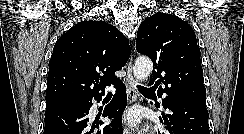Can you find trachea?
<instances>
[{"label":"trachea","mask_w":244,"mask_h":134,"mask_svg":"<svg viewBox=\"0 0 244 134\" xmlns=\"http://www.w3.org/2000/svg\"><path fill=\"white\" fill-rule=\"evenodd\" d=\"M137 88H138V91L144 95H154V91L149 88L143 87L141 85H137ZM109 93H111V92H109Z\"/></svg>","instance_id":"3493384b"}]
</instances>
